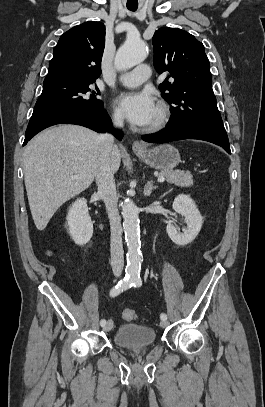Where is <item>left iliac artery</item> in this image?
Returning <instances> with one entry per match:
<instances>
[{"instance_id":"obj_1","label":"left iliac artery","mask_w":265,"mask_h":407,"mask_svg":"<svg viewBox=\"0 0 265 407\" xmlns=\"http://www.w3.org/2000/svg\"><path fill=\"white\" fill-rule=\"evenodd\" d=\"M132 283H133L134 287H136V286L140 287L142 285V280L140 277H137V278L133 279ZM160 318H161V320H167V315L165 313H162L160 315Z\"/></svg>"}]
</instances>
